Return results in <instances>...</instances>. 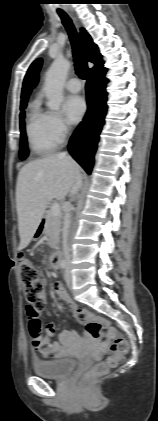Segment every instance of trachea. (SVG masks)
<instances>
[{"instance_id":"1","label":"trachea","mask_w":158,"mask_h":421,"mask_svg":"<svg viewBox=\"0 0 158 421\" xmlns=\"http://www.w3.org/2000/svg\"><path fill=\"white\" fill-rule=\"evenodd\" d=\"M59 16L62 20L63 25L65 26L68 32V35L72 44L76 74L81 79H86L88 75V66H87V61L84 56L83 50L78 41L76 29L71 19L66 13H59Z\"/></svg>"}]
</instances>
